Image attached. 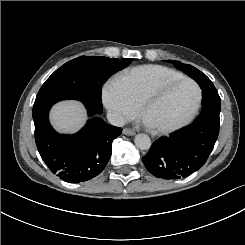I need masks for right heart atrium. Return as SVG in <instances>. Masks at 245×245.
Masks as SVG:
<instances>
[{
  "mask_svg": "<svg viewBox=\"0 0 245 245\" xmlns=\"http://www.w3.org/2000/svg\"><path fill=\"white\" fill-rule=\"evenodd\" d=\"M103 100L116 122L131 120L137 112V104L124 89L113 83L105 86Z\"/></svg>",
  "mask_w": 245,
  "mask_h": 245,
  "instance_id": "obj_1",
  "label": "right heart atrium"
}]
</instances>
